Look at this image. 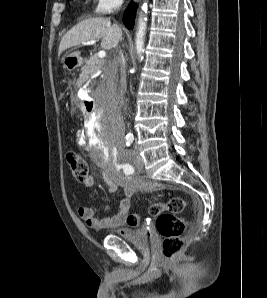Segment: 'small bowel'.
Wrapping results in <instances>:
<instances>
[{
  "mask_svg": "<svg viewBox=\"0 0 267 298\" xmlns=\"http://www.w3.org/2000/svg\"><path fill=\"white\" fill-rule=\"evenodd\" d=\"M103 179L108 186L109 194H115L121 187L126 195V197L119 202L116 213L113 216L101 218L97 216L96 207L82 206L78 209L79 217L89 228L94 230L121 228L125 224L126 217L130 210V197L134 194L139 183L120 174L109 172L104 173ZM93 184L94 178L93 176H89V179L83 185L85 187H92ZM141 185L146 186L149 189L155 188V185L152 183H141ZM126 232V229H121V233Z\"/></svg>",
  "mask_w": 267,
  "mask_h": 298,
  "instance_id": "1",
  "label": "small bowel"
}]
</instances>
